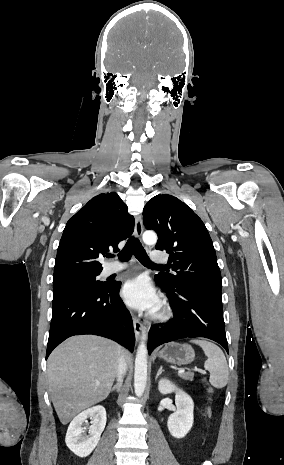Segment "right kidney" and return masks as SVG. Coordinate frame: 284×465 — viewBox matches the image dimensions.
<instances>
[{"instance_id":"obj_1","label":"right kidney","mask_w":284,"mask_h":465,"mask_svg":"<svg viewBox=\"0 0 284 465\" xmlns=\"http://www.w3.org/2000/svg\"><path fill=\"white\" fill-rule=\"evenodd\" d=\"M93 417L91 427H89V435L85 437L82 429V425L85 419ZM106 425V411L101 405L97 407H91L82 411L80 415H77L73 421H71L68 431L66 433L65 443L77 457H88L92 451H94L96 445H98Z\"/></svg>"}]
</instances>
